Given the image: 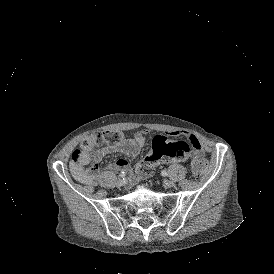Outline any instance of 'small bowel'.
<instances>
[{
	"label": "small bowel",
	"mask_w": 274,
	"mask_h": 274,
	"mask_svg": "<svg viewBox=\"0 0 274 274\" xmlns=\"http://www.w3.org/2000/svg\"><path fill=\"white\" fill-rule=\"evenodd\" d=\"M148 130H140L133 134L130 139L122 138L115 144H104L93 154L81 153L76 160H72L71 172L74 178L81 182L90 184L96 178L99 167L98 163L107 155L114 152L126 153L136 158L145 145ZM174 135H183L190 143L195 156L204 155V148L201 141L190 132H174ZM164 148L167 151H164ZM190 158V150L183 140L168 138L165 133H155L152 136V144L147 152V159L150 162L159 161L161 164H186ZM94 162L91 166H88ZM130 163L125 158H120L110 165L111 170H126ZM156 167L155 163L149 164L150 173ZM137 169V168H136ZM149 173V175H150ZM147 175V176H149ZM146 176V177H147ZM138 178V177H137ZM145 178V177H144ZM142 179V178H138Z\"/></svg>",
	"instance_id": "c3829d8e"
}]
</instances>
